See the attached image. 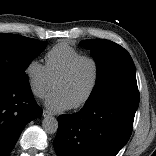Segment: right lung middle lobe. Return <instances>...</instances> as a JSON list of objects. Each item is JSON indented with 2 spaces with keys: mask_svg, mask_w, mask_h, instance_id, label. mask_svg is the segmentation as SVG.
<instances>
[{
  "mask_svg": "<svg viewBox=\"0 0 156 156\" xmlns=\"http://www.w3.org/2000/svg\"><path fill=\"white\" fill-rule=\"evenodd\" d=\"M46 47L45 42L0 33V82L28 86L26 68Z\"/></svg>",
  "mask_w": 156,
  "mask_h": 156,
  "instance_id": "dd1d6c3e",
  "label": "right lung middle lobe"
}]
</instances>
